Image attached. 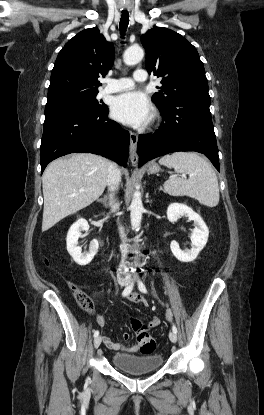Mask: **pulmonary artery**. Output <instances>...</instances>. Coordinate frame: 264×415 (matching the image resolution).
I'll return each instance as SVG.
<instances>
[{
  "instance_id": "pulmonary-artery-1",
  "label": "pulmonary artery",
  "mask_w": 264,
  "mask_h": 415,
  "mask_svg": "<svg viewBox=\"0 0 264 415\" xmlns=\"http://www.w3.org/2000/svg\"><path fill=\"white\" fill-rule=\"evenodd\" d=\"M146 80V73L138 70L133 74L132 78L107 79V85L104 89L105 93H117L133 89L136 82H143Z\"/></svg>"
}]
</instances>
